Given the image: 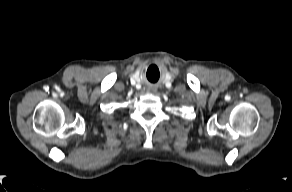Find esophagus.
<instances>
[{"instance_id":"1","label":"esophagus","mask_w":292,"mask_h":192,"mask_svg":"<svg viewBox=\"0 0 292 192\" xmlns=\"http://www.w3.org/2000/svg\"><path fill=\"white\" fill-rule=\"evenodd\" d=\"M148 91H149V92H154V91H155V89H153V88H150Z\"/></svg>"}]
</instances>
